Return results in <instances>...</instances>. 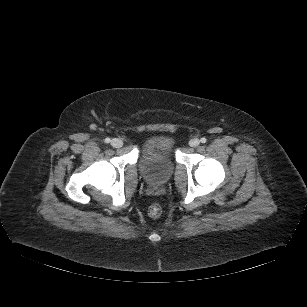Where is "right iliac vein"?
<instances>
[{"label":"right iliac vein","instance_id":"obj_1","mask_svg":"<svg viewBox=\"0 0 307 307\" xmlns=\"http://www.w3.org/2000/svg\"><path fill=\"white\" fill-rule=\"evenodd\" d=\"M111 145L115 148H120L123 146V141L119 138H114L111 141Z\"/></svg>","mask_w":307,"mask_h":307}]
</instances>
